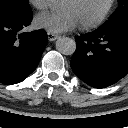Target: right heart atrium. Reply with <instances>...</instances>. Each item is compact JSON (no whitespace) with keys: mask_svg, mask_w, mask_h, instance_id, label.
<instances>
[{"mask_svg":"<svg viewBox=\"0 0 128 128\" xmlns=\"http://www.w3.org/2000/svg\"><path fill=\"white\" fill-rule=\"evenodd\" d=\"M29 3L37 10H45L48 7V0H28Z\"/></svg>","mask_w":128,"mask_h":128,"instance_id":"1","label":"right heart atrium"}]
</instances>
